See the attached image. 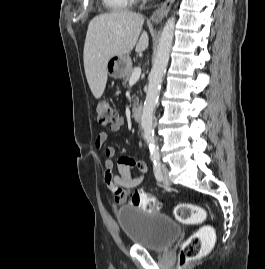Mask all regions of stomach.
Returning a JSON list of instances; mask_svg holds the SVG:
<instances>
[{
  "label": "stomach",
  "mask_w": 265,
  "mask_h": 269,
  "mask_svg": "<svg viewBox=\"0 0 265 269\" xmlns=\"http://www.w3.org/2000/svg\"><path fill=\"white\" fill-rule=\"evenodd\" d=\"M131 59L128 55L114 56L107 63V74L115 79L125 77L131 70Z\"/></svg>",
  "instance_id": "1"
}]
</instances>
